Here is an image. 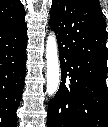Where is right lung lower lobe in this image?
I'll return each instance as SVG.
<instances>
[{
	"mask_svg": "<svg viewBox=\"0 0 108 127\" xmlns=\"http://www.w3.org/2000/svg\"><path fill=\"white\" fill-rule=\"evenodd\" d=\"M27 24L0 28V127H17L26 73Z\"/></svg>",
	"mask_w": 108,
	"mask_h": 127,
	"instance_id": "obj_1",
	"label": "right lung lower lobe"
}]
</instances>
